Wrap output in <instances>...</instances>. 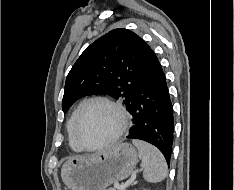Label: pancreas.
Wrapping results in <instances>:
<instances>
[{
	"instance_id": "pancreas-1",
	"label": "pancreas",
	"mask_w": 234,
	"mask_h": 190,
	"mask_svg": "<svg viewBox=\"0 0 234 190\" xmlns=\"http://www.w3.org/2000/svg\"><path fill=\"white\" fill-rule=\"evenodd\" d=\"M107 190H115L114 188H109V189H107Z\"/></svg>"
}]
</instances>
